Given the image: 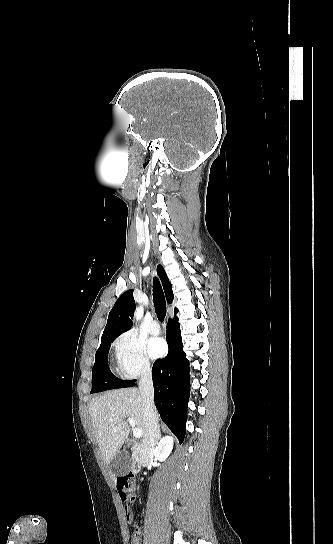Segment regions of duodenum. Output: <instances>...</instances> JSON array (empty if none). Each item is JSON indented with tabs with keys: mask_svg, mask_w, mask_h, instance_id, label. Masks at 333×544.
Wrapping results in <instances>:
<instances>
[{
	"mask_svg": "<svg viewBox=\"0 0 333 544\" xmlns=\"http://www.w3.org/2000/svg\"><path fill=\"white\" fill-rule=\"evenodd\" d=\"M132 463L131 471L137 474L143 468L150 458V449L139 444H134L131 448Z\"/></svg>",
	"mask_w": 333,
	"mask_h": 544,
	"instance_id": "duodenum-1",
	"label": "duodenum"
}]
</instances>
